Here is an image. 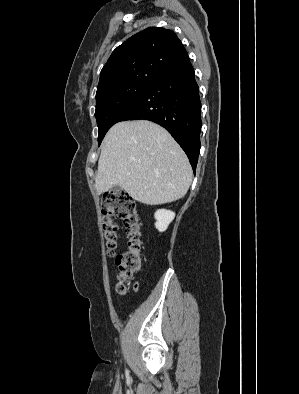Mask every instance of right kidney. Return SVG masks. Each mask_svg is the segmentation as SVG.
<instances>
[{
	"instance_id": "ca27d5eb",
	"label": "right kidney",
	"mask_w": 299,
	"mask_h": 394,
	"mask_svg": "<svg viewBox=\"0 0 299 394\" xmlns=\"http://www.w3.org/2000/svg\"><path fill=\"white\" fill-rule=\"evenodd\" d=\"M156 219L155 227L159 232H164L169 224L173 221L175 213L170 210L159 209L155 212Z\"/></svg>"
}]
</instances>
